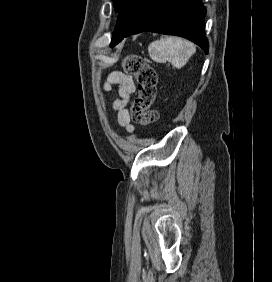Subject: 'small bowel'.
Segmentation results:
<instances>
[{
    "label": "small bowel",
    "instance_id": "obj_1",
    "mask_svg": "<svg viewBox=\"0 0 272 282\" xmlns=\"http://www.w3.org/2000/svg\"><path fill=\"white\" fill-rule=\"evenodd\" d=\"M114 84L118 85V98L112 100V109L117 113L119 124L124 127L126 131L131 132L134 126L130 120L128 105L136 92L135 83L132 77L127 74L111 72L105 81L104 87L109 91Z\"/></svg>",
    "mask_w": 272,
    "mask_h": 282
}]
</instances>
